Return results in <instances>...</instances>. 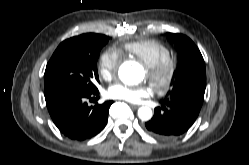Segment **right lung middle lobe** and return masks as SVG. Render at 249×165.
Here are the masks:
<instances>
[{"mask_svg":"<svg viewBox=\"0 0 249 165\" xmlns=\"http://www.w3.org/2000/svg\"><path fill=\"white\" fill-rule=\"evenodd\" d=\"M108 40L105 35L87 33L63 41L46 66L45 87L96 90L95 82H99L97 59Z\"/></svg>","mask_w":249,"mask_h":165,"instance_id":"1","label":"right lung middle lobe"}]
</instances>
